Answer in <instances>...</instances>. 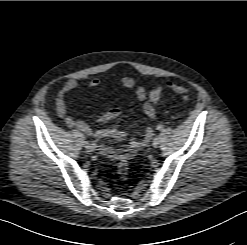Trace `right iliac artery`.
<instances>
[{
  "label": "right iliac artery",
  "instance_id": "right-iliac-artery-1",
  "mask_svg": "<svg viewBox=\"0 0 247 245\" xmlns=\"http://www.w3.org/2000/svg\"><path fill=\"white\" fill-rule=\"evenodd\" d=\"M90 148L94 149L97 148V143L96 142H92L91 144H88Z\"/></svg>",
  "mask_w": 247,
  "mask_h": 245
}]
</instances>
